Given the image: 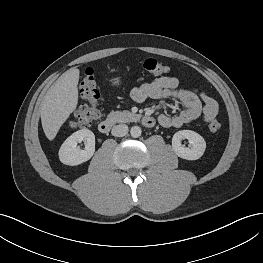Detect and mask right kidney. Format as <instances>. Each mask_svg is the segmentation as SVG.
Masks as SVG:
<instances>
[{"label":"right kidney","mask_w":263,"mask_h":263,"mask_svg":"<svg viewBox=\"0 0 263 263\" xmlns=\"http://www.w3.org/2000/svg\"><path fill=\"white\" fill-rule=\"evenodd\" d=\"M85 141V148L78 143ZM95 151V136L88 129H82L69 136L59 149V159L63 164L75 166L88 161Z\"/></svg>","instance_id":"1"}]
</instances>
